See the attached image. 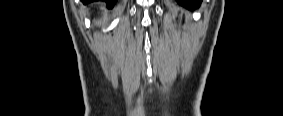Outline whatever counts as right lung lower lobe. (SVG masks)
<instances>
[{
	"label": "right lung lower lobe",
	"mask_w": 283,
	"mask_h": 116,
	"mask_svg": "<svg viewBox=\"0 0 283 116\" xmlns=\"http://www.w3.org/2000/svg\"><path fill=\"white\" fill-rule=\"evenodd\" d=\"M92 1H95V0H85L84 2L85 3H89V2H92ZM107 3V6L108 7H113V5L116 3V0H103Z\"/></svg>",
	"instance_id": "right-lung-lower-lobe-1"
}]
</instances>
